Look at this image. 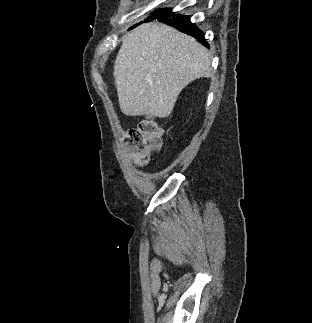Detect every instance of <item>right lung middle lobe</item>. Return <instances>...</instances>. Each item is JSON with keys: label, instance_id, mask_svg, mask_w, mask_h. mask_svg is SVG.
<instances>
[{"label": "right lung middle lobe", "instance_id": "1", "mask_svg": "<svg viewBox=\"0 0 312 323\" xmlns=\"http://www.w3.org/2000/svg\"><path fill=\"white\" fill-rule=\"evenodd\" d=\"M171 15H173V12H171L170 8L159 9V10H156L154 13H152L144 22H147L149 19H151V20H153V19H161L163 17L171 16ZM141 23L142 22H140L139 24H141Z\"/></svg>", "mask_w": 312, "mask_h": 323}]
</instances>
